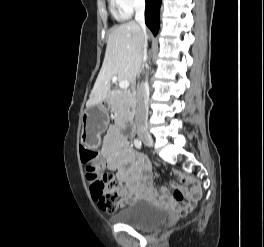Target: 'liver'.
I'll use <instances>...</instances> for the list:
<instances>
[{"label": "liver", "instance_id": "6515ba94", "mask_svg": "<svg viewBox=\"0 0 264 247\" xmlns=\"http://www.w3.org/2000/svg\"><path fill=\"white\" fill-rule=\"evenodd\" d=\"M147 40L134 21L120 25L108 37L102 68L86 103L88 108L103 102L114 77L133 83L142 65V46Z\"/></svg>", "mask_w": 264, "mask_h": 247}]
</instances>
